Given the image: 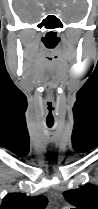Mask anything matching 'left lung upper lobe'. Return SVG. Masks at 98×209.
<instances>
[{
	"instance_id": "obj_1",
	"label": "left lung upper lobe",
	"mask_w": 98,
	"mask_h": 209,
	"mask_svg": "<svg viewBox=\"0 0 98 209\" xmlns=\"http://www.w3.org/2000/svg\"><path fill=\"white\" fill-rule=\"evenodd\" d=\"M64 198L75 209H98V186L88 184L63 193Z\"/></svg>"
}]
</instances>
